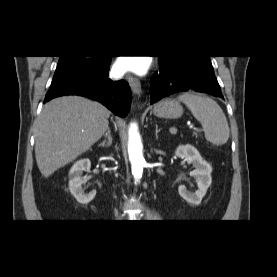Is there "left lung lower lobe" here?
<instances>
[{
    "label": "left lung lower lobe",
    "instance_id": "obj_1",
    "mask_svg": "<svg viewBox=\"0 0 277 277\" xmlns=\"http://www.w3.org/2000/svg\"><path fill=\"white\" fill-rule=\"evenodd\" d=\"M181 91L205 92L223 99L211 62H160L159 71L151 79L150 103Z\"/></svg>",
    "mask_w": 277,
    "mask_h": 277
}]
</instances>
